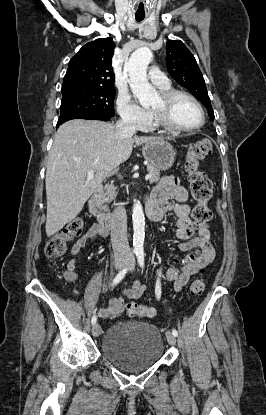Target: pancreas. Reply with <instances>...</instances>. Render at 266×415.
<instances>
[{
  "label": "pancreas",
  "mask_w": 266,
  "mask_h": 415,
  "mask_svg": "<svg viewBox=\"0 0 266 415\" xmlns=\"http://www.w3.org/2000/svg\"><path fill=\"white\" fill-rule=\"evenodd\" d=\"M147 171H148L149 174L152 175L151 178L149 179V183L150 184L157 183L160 179V171L158 169H156L154 166L150 165V164L147 165ZM116 189L117 188L112 186V185L107 187L104 195L102 196V203L103 204L109 203V202L115 200L116 195H117ZM101 209L106 211V212L109 211L106 204L102 205Z\"/></svg>",
  "instance_id": "obj_1"
}]
</instances>
